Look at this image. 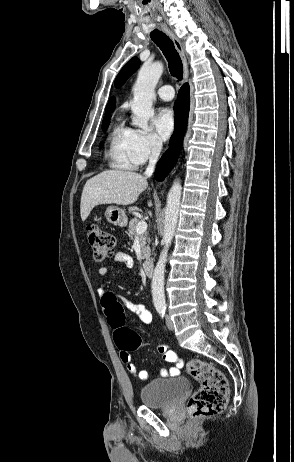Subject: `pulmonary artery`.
Masks as SVG:
<instances>
[{"label":"pulmonary artery","mask_w":294,"mask_h":462,"mask_svg":"<svg viewBox=\"0 0 294 462\" xmlns=\"http://www.w3.org/2000/svg\"><path fill=\"white\" fill-rule=\"evenodd\" d=\"M157 95L163 101H170L174 98V89L170 85L162 86L158 89Z\"/></svg>","instance_id":"obj_1"}]
</instances>
